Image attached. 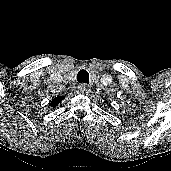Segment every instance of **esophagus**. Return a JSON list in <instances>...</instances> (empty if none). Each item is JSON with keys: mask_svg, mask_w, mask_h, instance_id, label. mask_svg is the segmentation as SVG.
Instances as JSON below:
<instances>
[{"mask_svg": "<svg viewBox=\"0 0 171 171\" xmlns=\"http://www.w3.org/2000/svg\"><path fill=\"white\" fill-rule=\"evenodd\" d=\"M90 90V87L87 84H80L78 86V93L87 94Z\"/></svg>", "mask_w": 171, "mask_h": 171, "instance_id": "1", "label": "esophagus"}]
</instances>
